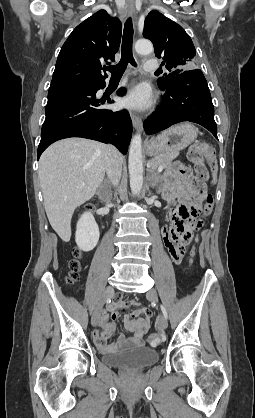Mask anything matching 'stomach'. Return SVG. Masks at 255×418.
Instances as JSON below:
<instances>
[{
  "mask_svg": "<svg viewBox=\"0 0 255 418\" xmlns=\"http://www.w3.org/2000/svg\"><path fill=\"white\" fill-rule=\"evenodd\" d=\"M198 129L190 123H181L162 132L146 143L149 156L179 152L197 138Z\"/></svg>",
  "mask_w": 255,
  "mask_h": 418,
  "instance_id": "1",
  "label": "stomach"
}]
</instances>
